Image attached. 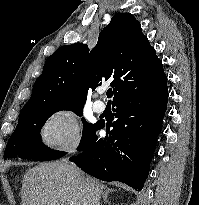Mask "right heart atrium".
I'll return each instance as SVG.
<instances>
[{"mask_svg": "<svg viewBox=\"0 0 199 205\" xmlns=\"http://www.w3.org/2000/svg\"><path fill=\"white\" fill-rule=\"evenodd\" d=\"M40 139L42 144L51 150H75L81 141L78 117L68 108L53 111L41 126Z\"/></svg>", "mask_w": 199, "mask_h": 205, "instance_id": "obj_1", "label": "right heart atrium"}]
</instances>
